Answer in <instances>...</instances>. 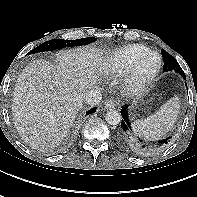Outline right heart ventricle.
<instances>
[{
    "instance_id": "e07e8e85",
    "label": "right heart ventricle",
    "mask_w": 197,
    "mask_h": 197,
    "mask_svg": "<svg viewBox=\"0 0 197 197\" xmlns=\"http://www.w3.org/2000/svg\"><path fill=\"white\" fill-rule=\"evenodd\" d=\"M150 49L141 44H129L117 48L105 55L101 73L110 78L125 76L133 63Z\"/></svg>"
}]
</instances>
